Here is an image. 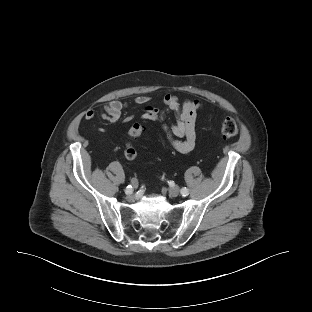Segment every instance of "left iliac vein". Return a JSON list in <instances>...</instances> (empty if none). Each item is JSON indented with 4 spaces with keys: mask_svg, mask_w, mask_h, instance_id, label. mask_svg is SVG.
<instances>
[{
    "mask_svg": "<svg viewBox=\"0 0 312 312\" xmlns=\"http://www.w3.org/2000/svg\"><path fill=\"white\" fill-rule=\"evenodd\" d=\"M168 192L171 197H176L179 195L180 191L178 187L174 186V187H170Z\"/></svg>",
    "mask_w": 312,
    "mask_h": 312,
    "instance_id": "left-iliac-vein-1",
    "label": "left iliac vein"
}]
</instances>
